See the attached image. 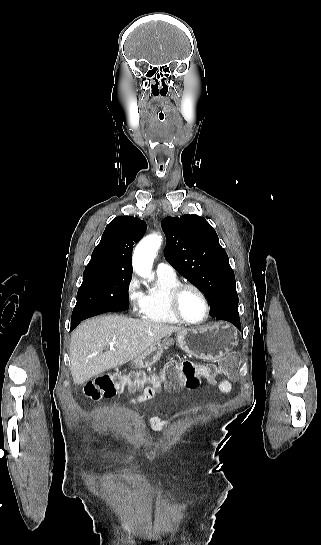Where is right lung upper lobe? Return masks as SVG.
Instances as JSON below:
<instances>
[{
    "label": "right lung upper lobe",
    "mask_w": 321,
    "mask_h": 545,
    "mask_svg": "<svg viewBox=\"0 0 321 545\" xmlns=\"http://www.w3.org/2000/svg\"><path fill=\"white\" fill-rule=\"evenodd\" d=\"M146 231V223L132 216H119L109 223L85 270L132 273V249Z\"/></svg>",
    "instance_id": "right-lung-upper-lobe-1"
}]
</instances>
